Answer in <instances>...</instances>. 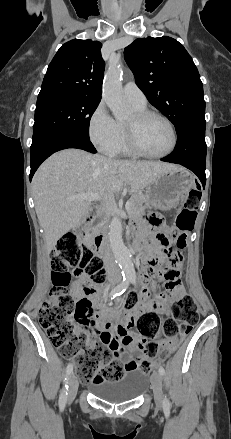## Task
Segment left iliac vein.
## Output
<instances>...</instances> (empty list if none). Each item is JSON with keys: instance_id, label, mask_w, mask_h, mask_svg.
<instances>
[{"instance_id": "obj_1", "label": "left iliac vein", "mask_w": 231, "mask_h": 439, "mask_svg": "<svg viewBox=\"0 0 231 439\" xmlns=\"http://www.w3.org/2000/svg\"><path fill=\"white\" fill-rule=\"evenodd\" d=\"M151 385L154 394V400L157 407H162L163 405V391H162V380L159 373H153L151 377Z\"/></svg>"}]
</instances>
